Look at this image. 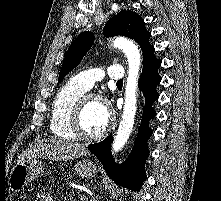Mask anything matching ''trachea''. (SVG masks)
I'll return each mask as SVG.
<instances>
[{"mask_svg": "<svg viewBox=\"0 0 221 201\" xmlns=\"http://www.w3.org/2000/svg\"><path fill=\"white\" fill-rule=\"evenodd\" d=\"M117 84L122 85L123 84V80L117 81Z\"/></svg>", "mask_w": 221, "mask_h": 201, "instance_id": "obj_1", "label": "trachea"}]
</instances>
